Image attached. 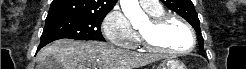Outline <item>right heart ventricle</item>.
Masks as SVG:
<instances>
[{"instance_id": "e07e8e85", "label": "right heart ventricle", "mask_w": 246, "mask_h": 69, "mask_svg": "<svg viewBox=\"0 0 246 69\" xmlns=\"http://www.w3.org/2000/svg\"><path fill=\"white\" fill-rule=\"evenodd\" d=\"M146 12L150 15V16H158V15H161V14H164V10L162 7H160L159 9H156V10H146Z\"/></svg>"}]
</instances>
